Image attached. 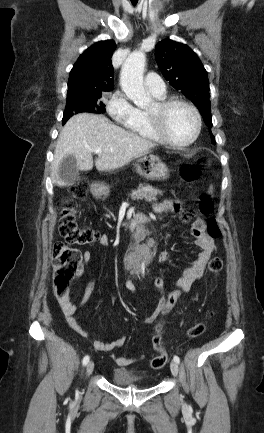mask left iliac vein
<instances>
[{"instance_id": "1", "label": "left iliac vein", "mask_w": 264, "mask_h": 433, "mask_svg": "<svg viewBox=\"0 0 264 433\" xmlns=\"http://www.w3.org/2000/svg\"><path fill=\"white\" fill-rule=\"evenodd\" d=\"M170 369H171L172 374L175 377H177L178 371H179L178 363L175 362V361H171V363H170Z\"/></svg>"}]
</instances>
